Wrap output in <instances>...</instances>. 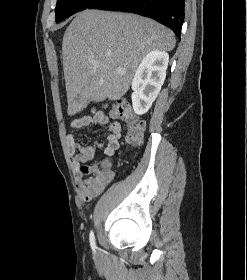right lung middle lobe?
Here are the masks:
<instances>
[{"instance_id":"dd1d6c3e","label":"right lung middle lobe","mask_w":247,"mask_h":280,"mask_svg":"<svg viewBox=\"0 0 247 280\" xmlns=\"http://www.w3.org/2000/svg\"><path fill=\"white\" fill-rule=\"evenodd\" d=\"M98 0H58L56 4V22L89 8Z\"/></svg>"}]
</instances>
